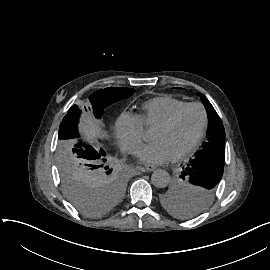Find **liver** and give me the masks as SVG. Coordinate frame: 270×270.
Instances as JSON below:
<instances>
[{
  "label": "liver",
  "instance_id": "6515ba94",
  "mask_svg": "<svg viewBox=\"0 0 270 270\" xmlns=\"http://www.w3.org/2000/svg\"><path fill=\"white\" fill-rule=\"evenodd\" d=\"M82 129L84 132H86L88 129L92 130V134L89 135L91 142L95 141V134L96 133H100L102 134V131L97 127L95 121L93 120L92 117H87L84 119L82 125H81Z\"/></svg>",
  "mask_w": 270,
  "mask_h": 270
}]
</instances>
